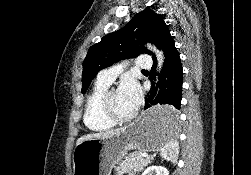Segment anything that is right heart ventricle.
Here are the masks:
<instances>
[{
  "label": "right heart ventricle",
  "mask_w": 251,
  "mask_h": 175,
  "mask_svg": "<svg viewBox=\"0 0 251 175\" xmlns=\"http://www.w3.org/2000/svg\"><path fill=\"white\" fill-rule=\"evenodd\" d=\"M109 84L98 79L90 89L83 108V121L85 126L92 132H104L110 130L114 123L103 116L100 110V99Z\"/></svg>",
  "instance_id": "e07e8e85"
}]
</instances>
